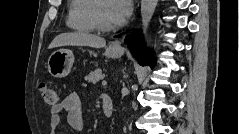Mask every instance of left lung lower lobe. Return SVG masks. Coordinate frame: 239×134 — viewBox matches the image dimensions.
I'll use <instances>...</instances> for the list:
<instances>
[{
    "label": "left lung lower lobe",
    "instance_id": "0a47b994",
    "mask_svg": "<svg viewBox=\"0 0 239 134\" xmlns=\"http://www.w3.org/2000/svg\"><path fill=\"white\" fill-rule=\"evenodd\" d=\"M125 43L128 45V48L131 50V52L141 65H149L152 68L154 67L156 60L153 54L144 52L143 37L140 32H135L131 35H128L125 39Z\"/></svg>",
    "mask_w": 239,
    "mask_h": 134
}]
</instances>
